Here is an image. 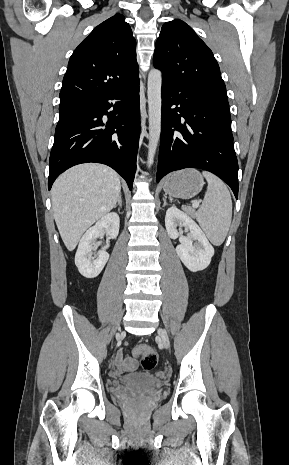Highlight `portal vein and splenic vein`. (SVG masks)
<instances>
[{"instance_id": "portal-vein-and-splenic-vein-1", "label": "portal vein and splenic vein", "mask_w": 289, "mask_h": 465, "mask_svg": "<svg viewBox=\"0 0 289 465\" xmlns=\"http://www.w3.org/2000/svg\"><path fill=\"white\" fill-rule=\"evenodd\" d=\"M198 206H199V202H198V201L193 202V204H192V207H193V208H197Z\"/></svg>"}]
</instances>
